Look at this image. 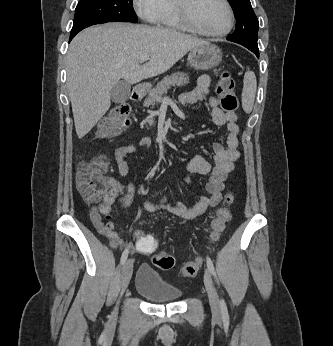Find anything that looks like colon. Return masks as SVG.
I'll use <instances>...</instances> for the list:
<instances>
[{
  "label": "colon",
  "instance_id": "1",
  "mask_svg": "<svg viewBox=\"0 0 333 346\" xmlns=\"http://www.w3.org/2000/svg\"><path fill=\"white\" fill-rule=\"evenodd\" d=\"M217 95L226 112H235L238 108V98L235 82L228 71H223L217 85ZM130 107L120 104L113 108L99 123L97 136L108 138L119 134L129 125ZM109 162L105 156H98L84 162L78 168L76 175L77 188L83 199L91 204H101L111 190V180L106 177ZM234 196H225L226 206L217 210L211 222V239L217 240L231 219L229 206L234 203ZM137 254L152 256V263L159 269L169 270L175 266V258L166 252H157L158 240L155 235H142L141 226H132ZM201 260L196 259L184 264L181 273L185 277L194 276L201 267Z\"/></svg>",
  "mask_w": 333,
  "mask_h": 346
}]
</instances>
